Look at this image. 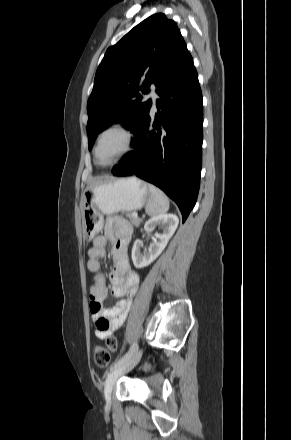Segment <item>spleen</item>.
<instances>
[{
  "mask_svg": "<svg viewBox=\"0 0 291 440\" xmlns=\"http://www.w3.org/2000/svg\"><path fill=\"white\" fill-rule=\"evenodd\" d=\"M150 199L147 202L145 211L149 216H156L165 213L169 209V199L159 188L154 185H148Z\"/></svg>",
  "mask_w": 291,
  "mask_h": 440,
  "instance_id": "obj_1",
  "label": "spleen"
}]
</instances>
